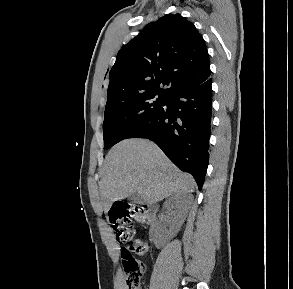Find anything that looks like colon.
I'll return each mask as SVG.
<instances>
[{"label": "colon", "mask_w": 293, "mask_h": 289, "mask_svg": "<svg viewBox=\"0 0 293 289\" xmlns=\"http://www.w3.org/2000/svg\"><path fill=\"white\" fill-rule=\"evenodd\" d=\"M145 213L144 207L137 204L129 205L119 202L112 206L109 219L120 242L133 241L132 224L142 221ZM146 252L147 244L141 240H135L129 248L121 250L128 289H139L146 271L144 263L136 259L133 254L144 255Z\"/></svg>", "instance_id": "obj_1"}]
</instances>
